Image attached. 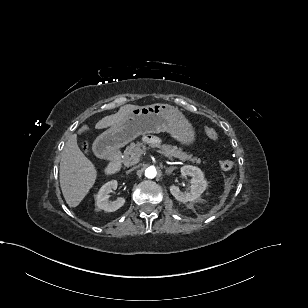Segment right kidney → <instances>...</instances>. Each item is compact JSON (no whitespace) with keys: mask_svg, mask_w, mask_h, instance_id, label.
I'll list each match as a JSON object with an SVG mask.
<instances>
[{"mask_svg":"<svg viewBox=\"0 0 308 308\" xmlns=\"http://www.w3.org/2000/svg\"><path fill=\"white\" fill-rule=\"evenodd\" d=\"M118 186V182L116 180L109 181L105 183L96 195V206L104 210L106 212H114L122 207L125 203V199L123 197L117 198L113 202H109V193L112 189H116Z\"/></svg>","mask_w":308,"mask_h":308,"instance_id":"right-kidney-1","label":"right kidney"}]
</instances>
